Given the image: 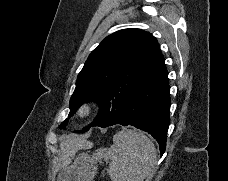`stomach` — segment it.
Wrapping results in <instances>:
<instances>
[{
  "label": "stomach",
  "mask_w": 228,
  "mask_h": 181,
  "mask_svg": "<svg viewBox=\"0 0 228 181\" xmlns=\"http://www.w3.org/2000/svg\"><path fill=\"white\" fill-rule=\"evenodd\" d=\"M96 173L97 165L93 155H89V151H81L74 155L72 165L60 171L57 181H93Z\"/></svg>",
  "instance_id": "0dacf381"
}]
</instances>
